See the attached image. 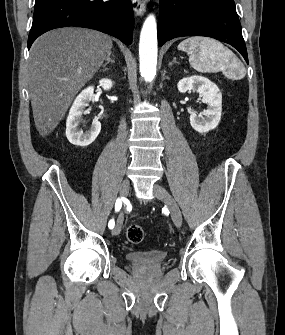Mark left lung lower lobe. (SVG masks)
<instances>
[{"label":"left lung lower lobe","mask_w":285,"mask_h":335,"mask_svg":"<svg viewBox=\"0 0 285 335\" xmlns=\"http://www.w3.org/2000/svg\"><path fill=\"white\" fill-rule=\"evenodd\" d=\"M183 36H206L228 43L248 63L234 0H160L159 46Z\"/></svg>","instance_id":"obj_1"}]
</instances>
